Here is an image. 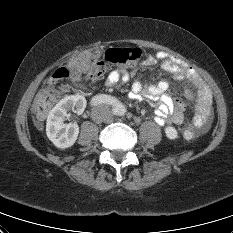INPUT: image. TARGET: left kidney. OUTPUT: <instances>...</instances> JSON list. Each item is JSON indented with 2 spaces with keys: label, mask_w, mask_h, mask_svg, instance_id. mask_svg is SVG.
<instances>
[{
  "label": "left kidney",
  "mask_w": 233,
  "mask_h": 233,
  "mask_svg": "<svg viewBox=\"0 0 233 233\" xmlns=\"http://www.w3.org/2000/svg\"><path fill=\"white\" fill-rule=\"evenodd\" d=\"M165 133H166V136L172 140L177 139L179 137L178 132L174 127L165 128Z\"/></svg>",
  "instance_id": "1"
}]
</instances>
